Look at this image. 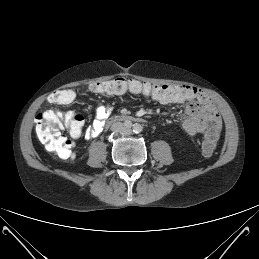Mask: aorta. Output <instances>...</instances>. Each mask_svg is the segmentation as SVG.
<instances>
[{"label":"aorta","instance_id":"762f6f07","mask_svg":"<svg viewBox=\"0 0 259 259\" xmlns=\"http://www.w3.org/2000/svg\"><path fill=\"white\" fill-rule=\"evenodd\" d=\"M133 129H134V131H136V132H137V131H139L140 126H139V125H136V126H134V128H133Z\"/></svg>","mask_w":259,"mask_h":259}]
</instances>
